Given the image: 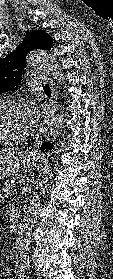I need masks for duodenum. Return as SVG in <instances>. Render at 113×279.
Here are the masks:
<instances>
[{"label":"duodenum","instance_id":"obj_1","mask_svg":"<svg viewBox=\"0 0 113 279\" xmlns=\"http://www.w3.org/2000/svg\"><path fill=\"white\" fill-rule=\"evenodd\" d=\"M19 218H20L19 210L17 208L12 209L10 212L9 220L13 228H16L18 226Z\"/></svg>","mask_w":113,"mask_h":279}]
</instances>
